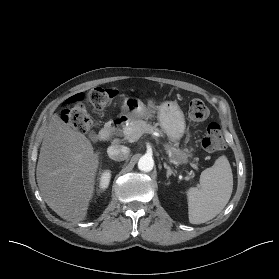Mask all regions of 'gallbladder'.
Here are the masks:
<instances>
[{"label": "gallbladder", "mask_w": 279, "mask_h": 279, "mask_svg": "<svg viewBox=\"0 0 279 279\" xmlns=\"http://www.w3.org/2000/svg\"><path fill=\"white\" fill-rule=\"evenodd\" d=\"M89 137H90L91 139H95L96 134H95L94 132H92V133L89 134Z\"/></svg>", "instance_id": "bac80fb5"}]
</instances>
